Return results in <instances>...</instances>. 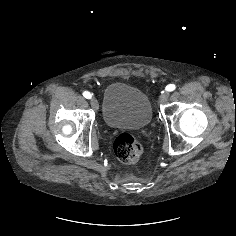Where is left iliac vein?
Listing matches in <instances>:
<instances>
[{"mask_svg":"<svg viewBox=\"0 0 236 236\" xmlns=\"http://www.w3.org/2000/svg\"><path fill=\"white\" fill-rule=\"evenodd\" d=\"M169 95H170L169 92H163L159 97V103L160 104L166 103L169 98Z\"/></svg>","mask_w":236,"mask_h":236,"instance_id":"4c4485c4","label":"left iliac vein"}]
</instances>
